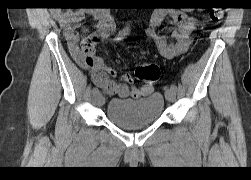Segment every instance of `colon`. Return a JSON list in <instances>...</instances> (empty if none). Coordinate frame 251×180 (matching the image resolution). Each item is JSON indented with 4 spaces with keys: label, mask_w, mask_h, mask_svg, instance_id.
<instances>
[{
    "label": "colon",
    "mask_w": 251,
    "mask_h": 180,
    "mask_svg": "<svg viewBox=\"0 0 251 180\" xmlns=\"http://www.w3.org/2000/svg\"><path fill=\"white\" fill-rule=\"evenodd\" d=\"M210 18L213 22H219L223 17V10L220 8H213L210 10ZM160 76L158 66L154 64H142L135 70V77L144 85L153 86Z\"/></svg>",
    "instance_id": "obj_1"
}]
</instances>
